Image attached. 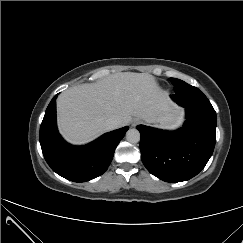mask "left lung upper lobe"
Returning a JSON list of instances; mask_svg holds the SVG:
<instances>
[{
    "mask_svg": "<svg viewBox=\"0 0 243 243\" xmlns=\"http://www.w3.org/2000/svg\"><path fill=\"white\" fill-rule=\"evenodd\" d=\"M171 82L175 87V91H180L182 89H185L186 86L189 85V84L185 83L184 81L176 79V78H171ZM199 107L213 108L210 101L207 99V97L204 94H203V101L201 102Z\"/></svg>",
    "mask_w": 243,
    "mask_h": 243,
    "instance_id": "5c2ea615",
    "label": "left lung upper lobe"
}]
</instances>
